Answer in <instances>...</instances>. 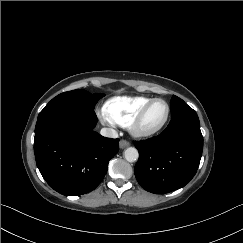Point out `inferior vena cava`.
Returning a JSON list of instances; mask_svg holds the SVG:
<instances>
[{
  "label": "inferior vena cava",
  "mask_w": 243,
  "mask_h": 243,
  "mask_svg": "<svg viewBox=\"0 0 243 243\" xmlns=\"http://www.w3.org/2000/svg\"><path fill=\"white\" fill-rule=\"evenodd\" d=\"M100 134L104 137H109V138H117L118 133L116 130L112 128H102L100 131Z\"/></svg>",
  "instance_id": "1"
}]
</instances>
